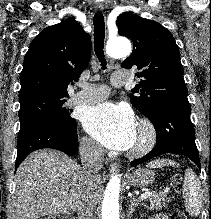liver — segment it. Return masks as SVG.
I'll return each mask as SVG.
<instances>
[{
    "label": "liver",
    "mask_w": 211,
    "mask_h": 219,
    "mask_svg": "<svg viewBox=\"0 0 211 219\" xmlns=\"http://www.w3.org/2000/svg\"><path fill=\"white\" fill-rule=\"evenodd\" d=\"M99 177L93 199H100ZM12 219H38L46 215L71 214L85 187L82 167L57 150L32 152L15 176Z\"/></svg>",
    "instance_id": "obj_1"
}]
</instances>
